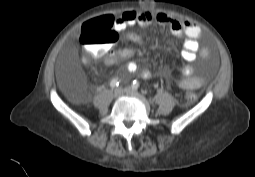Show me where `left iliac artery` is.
I'll use <instances>...</instances> for the list:
<instances>
[{"label": "left iliac artery", "mask_w": 255, "mask_h": 177, "mask_svg": "<svg viewBox=\"0 0 255 177\" xmlns=\"http://www.w3.org/2000/svg\"><path fill=\"white\" fill-rule=\"evenodd\" d=\"M132 88L135 89V90H137V89L139 88V82L136 81V80H134V81H133V84H132Z\"/></svg>", "instance_id": "left-iliac-artery-1"}]
</instances>
